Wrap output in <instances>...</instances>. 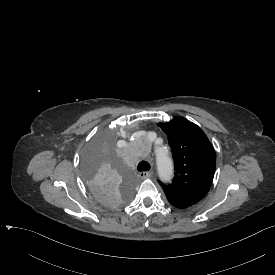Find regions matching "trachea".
Masks as SVG:
<instances>
[{"mask_svg":"<svg viewBox=\"0 0 275 275\" xmlns=\"http://www.w3.org/2000/svg\"><path fill=\"white\" fill-rule=\"evenodd\" d=\"M150 168V164L146 161H141L137 166L138 171H149Z\"/></svg>","mask_w":275,"mask_h":275,"instance_id":"1","label":"trachea"}]
</instances>
